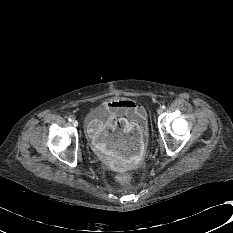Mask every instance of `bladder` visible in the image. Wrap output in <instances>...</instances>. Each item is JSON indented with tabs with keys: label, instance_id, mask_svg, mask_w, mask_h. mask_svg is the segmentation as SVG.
Returning a JSON list of instances; mask_svg holds the SVG:
<instances>
[{
	"label": "bladder",
	"instance_id": "bladder-1",
	"mask_svg": "<svg viewBox=\"0 0 233 233\" xmlns=\"http://www.w3.org/2000/svg\"><path fill=\"white\" fill-rule=\"evenodd\" d=\"M94 114L101 120L104 119L105 115H106V110L103 108H97L96 110H94ZM102 114V115H100Z\"/></svg>",
	"mask_w": 233,
	"mask_h": 233
}]
</instances>
